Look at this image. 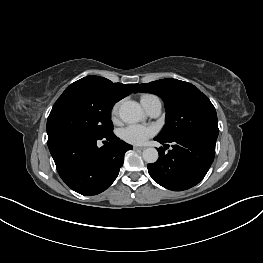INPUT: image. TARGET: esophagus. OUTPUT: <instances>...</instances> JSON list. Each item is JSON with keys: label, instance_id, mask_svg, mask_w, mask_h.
<instances>
[{"label": "esophagus", "instance_id": "1", "mask_svg": "<svg viewBox=\"0 0 263 263\" xmlns=\"http://www.w3.org/2000/svg\"><path fill=\"white\" fill-rule=\"evenodd\" d=\"M133 149H134V150H144L145 148H144V147L134 146Z\"/></svg>", "mask_w": 263, "mask_h": 263}]
</instances>
